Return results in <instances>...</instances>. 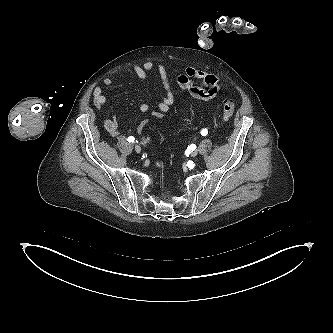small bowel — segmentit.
<instances>
[{
    "mask_svg": "<svg viewBox=\"0 0 333 333\" xmlns=\"http://www.w3.org/2000/svg\"><path fill=\"white\" fill-rule=\"evenodd\" d=\"M132 70L141 80L146 79L149 72L155 71L157 73L164 90V95L158 104V110L152 111L150 115L155 118H161L164 113L169 111L175 101L173 85L166 67L162 64H154L153 62L147 61L140 65H133ZM197 82H199L200 85H197ZM176 84L178 88L188 91L192 97L203 101L213 99L220 89V79L216 75L192 67L185 69L177 75ZM104 85L111 87L114 85V80L110 77L105 78ZM93 103L97 109H101L106 103V96L101 87L94 89ZM140 110L146 113L149 111V106L142 104ZM147 123L148 118L146 117L138 124L136 130L141 132L146 127ZM104 127L111 137L119 136L118 122L114 118L106 117Z\"/></svg>",
    "mask_w": 333,
    "mask_h": 333,
    "instance_id": "c3829d8e",
    "label": "small bowel"
}]
</instances>
